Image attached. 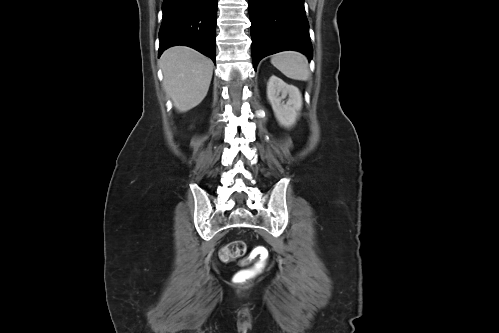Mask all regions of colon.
Wrapping results in <instances>:
<instances>
[{
  "label": "colon",
  "instance_id": "1",
  "mask_svg": "<svg viewBox=\"0 0 499 333\" xmlns=\"http://www.w3.org/2000/svg\"><path fill=\"white\" fill-rule=\"evenodd\" d=\"M245 252L246 244L241 240H236L228 243L221 249L220 258L223 261H230L236 258L243 257ZM267 256L268 251L262 247L254 250L250 256L243 258L241 261V264L243 266L248 265L255 258L258 259V262L253 268L238 273V275L236 276V281L241 283L255 276L261 270L265 260L267 259Z\"/></svg>",
  "mask_w": 499,
  "mask_h": 333
}]
</instances>
